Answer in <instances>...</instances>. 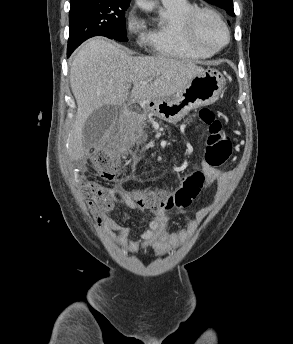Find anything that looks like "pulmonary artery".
<instances>
[{"label":"pulmonary artery","instance_id":"1","mask_svg":"<svg viewBox=\"0 0 293 344\" xmlns=\"http://www.w3.org/2000/svg\"><path fill=\"white\" fill-rule=\"evenodd\" d=\"M161 1L164 2V3H168V2L175 1V0H161Z\"/></svg>","mask_w":293,"mask_h":344}]
</instances>
